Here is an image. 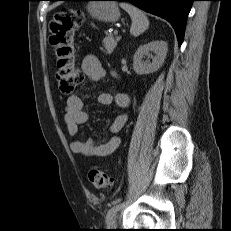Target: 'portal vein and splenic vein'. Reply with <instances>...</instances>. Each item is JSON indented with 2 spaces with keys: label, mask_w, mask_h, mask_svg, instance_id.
I'll list each match as a JSON object with an SVG mask.
<instances>
[{
  "label": "portal vein and splenic vein",
  "mask_w": 231,
  "mask_h": 231,
  "mask_svg": "<svg viewBox=\"0 0 231 231\" xmlns=\"http://www.w3.org/2000/svg\"><path fill=\"white\" fill-rule=\"evenodd\" d=\"M114 34H118V31H115Z\"/></svg>",
  "instance_id": "obj_1"
}]
</instances>
